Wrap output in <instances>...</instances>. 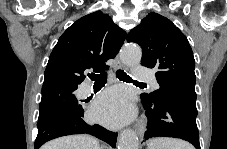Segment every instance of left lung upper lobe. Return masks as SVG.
<instances>
[{"instance_id": "1", "label": "left lung upper lobe", "mask_w": 227, "mask_h": 149, "mask_svg": "<svg viewBox=\"0 0 227 149\" xmlns=\"http://www.w3.org/2000/svg\"><path fill=\"white\" fill-rule=\"evenodd\" d=\"M142 48L143 66L157 70L160 88L143 96L152 101L169 97L196 102L195 60L186 36L166 17L150 13L127 35Z\"/></svg>"}]
</instances>
